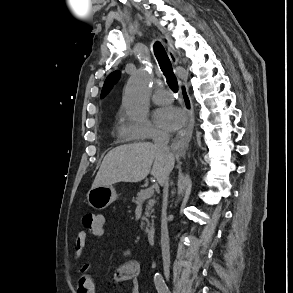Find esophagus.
I'll return each instance as SVG.
<instances>
[{"mask_svg": "<svg viewBox=\"0 0 293 293\" xmlns=\"http://www.w3.org/2000/svg\"><path fill=\"white\" fill-rule=\"evenodd\" d=\"M168 55H169V58L172 61V63L177 64V57L175 56L173 51L171 49H169V48H168ZM191 121H192V114L190 116V122ZM189 127L187 129H189ZM179 138H181V134H178L177 137H176V139H179Z\"/></svg>", "mask_w": 293, "mask_h": 293, "instance_id": "34e87169", "label": "esophagus"}]
</instances>
